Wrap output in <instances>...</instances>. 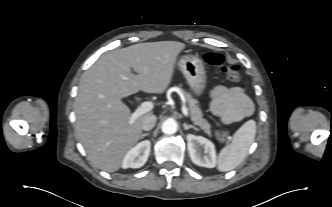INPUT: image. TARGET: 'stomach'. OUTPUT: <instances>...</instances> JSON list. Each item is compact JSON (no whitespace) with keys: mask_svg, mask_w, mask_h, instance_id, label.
I'll use <instances>...</instances> for the list:
<instances>
[{"mask_svg":"<svg viewBox=\"0 0 332 207\" xmlns=\"http://www.w3.org/2000/svg\"><path fill=\"white\" fill-rule=\"evenodd\" d=\"M179 69L196 96H201L206 88V71L202 60L196 55H185L178 62Z\"/></svg>","mask_w":332,"mask_h":207,"instance_id":"stomach-1","label":"stomach"}]
</instances>
